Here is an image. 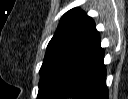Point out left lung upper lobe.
<instances>
[{"label": "left lung upper lobe", "mask_w": 128, "mask_h": 99, "mask_svg": "<svg viewBox=\"0 0 128 99\" xmlns=\"http://www.w3.org/2000/svg\"><path fill=\"white\" fill-rule=\"evenodd\" d=\"M95 32V24L92 18L87 16L79 8H73L62 16L56 33L48 44L46 55L40 69L37 99L43 98L57 70L71 58Z\"/></svg>", "instance_id": "left-lung-upper-lobe-1"}]
</instances>
